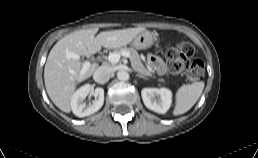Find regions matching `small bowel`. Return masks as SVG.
Masks as SVG:
<instances>
[{
	"label": "small bowel",
	"mask_w": 258,
	"mask_h": 158,
	"mask_svg": "<svg viewBox=\"0 0 258 158\" xmlns=\"http://www.w3.org/2000/svg\"><path fill=\"white\" fill-rule=\"evenodd\" d=\"M147 61L160 75L168 74L167 67L160 57L150 54L147 57Z\"/></svg>",
	"instance_id": "small-bowel-1"
}]
</instances>
